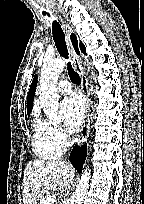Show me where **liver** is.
<instances>
[{
    "label": "liver",
    "instance_id": "obj_1",
    "mask_svg": "<svg viewBox=\"0 0 144 204\" xmlns=\"http://www.w3.org/2000/svg\"><path fill=\"white\" fill-rule=\"evenodd\" d=\"M74 177L75 169L63 161H29L24 171L23 204H37L39 197L50 190L71 188Z\"/></svg>",
    "mask_w": 144,
    "mask_h": 204
}]
</instances>
